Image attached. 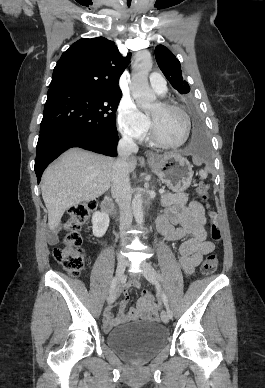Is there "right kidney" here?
Wrapping results in <instances>:
<instances>
[{
  "instance_id": "obj_1",
  "label": "right kidney",
  "mask_w": 265,
  "mask_h": 388,
  "mask_svg": "<svg viewBox=\"0 0 265 388\" xmlns=\"http://www.w3.org/2000/svg\"><path fill=\"white\" fill-rule=\"evenodd\" d=\"M92 224L93 236H96V238H102L108 230V214H104V212H95L92 216Z\"/></svg>"
}]
</instances>
